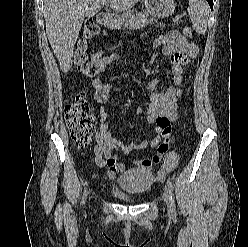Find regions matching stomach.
Wrapping results in <instances>:
<instances>
[{"instance_id": "stomach-1", "label": "stomach", "mask_w": 248, "mask_h": 247, "mask_svg": "<svg viewBox=\"0 0 248 247\" xmlns=\"http://www.w3.org/2000/svg\"><path fill=\"white\" fill-rule=\"evenodd\" d=\"M145 7L153 15L158 17H167L175 9L174 0H143ZM124 23L123 16L117 17L109 24L112 29H119Z\"/></svg>"}]
</instances>
